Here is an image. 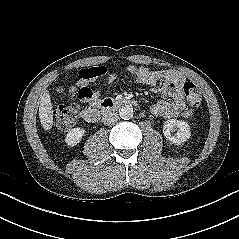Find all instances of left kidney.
Returning <instances> with one entry per match:
<instances>
[{"label": "left kidney", "instance_id": "left-kidney-1", "mask_svg": "<svg viewBox=\"0 0 239 239\" xmlns=\"http://www.w3.org/2000/svg\"><path fill=\"white\" fill-rule=\"evenodd\" d=\"M175 128H178V131L175 135H172L171 132H173ZM163 134L171 143L180 145L190 138V126L183 120L170 119L164 123Z\"/></svg>", "mask_w": 239, "mask_h": 239}]
</instances>
